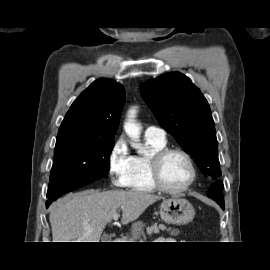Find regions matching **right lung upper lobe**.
Segmentation results:
<instances>
[{
  "mask_svg": "<svg viewBox=\"0 0 270 270\" xmlns=\"http://www.w3.org/2000/svg\"><path fill=\"white\" fill-rule=\"evenodd\" d=\"M124 102L125 90L120 83L99 78L71 105L57 137L114 139Z\"/></svg>",
  "mask_w": 270,
  "mask_h": 270,
  "instance_id": "cb5924a9",
  "label": "right lung upper lobe"
}]
</instances>
